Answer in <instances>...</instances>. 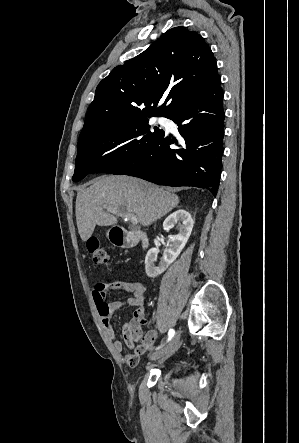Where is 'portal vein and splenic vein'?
<instances>
[{
	"label": "portal vein and splenic vein",
	"mask_w": 299,
	"mask_h": 443,
	"mask_svg": "<svg viewBox=\"0 0 299 443\" xmlns=\"http://www.w3.org/2000/svg\"><path fill=\"white\" fill-rule=\"evenodd\" d=\"M107 210L110 211V212L116 213L115 210H112V209H109V208H108ZM119 215H120L121 217H125V218H127L128 220H130V222H131L133 225H136V224H138V222H139L137 216L134 215V214L119 213Z\"/></svg>",
	"instance_id": "portal-vein-and-splenic-vein-1"
}]
</instances>
